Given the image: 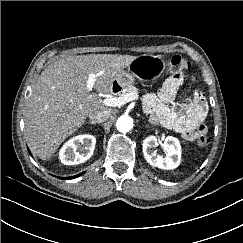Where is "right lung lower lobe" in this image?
Listing matches in <instances>:
<instances>
[{
  "mask_svg": "<svg viewBox=\"0 0 243 243\" xmlns=\"http://www.w3.org/2000/svg\"><path fill=\"white\" fill-rule=\"evenodd\" d=\"M82 174V173H81ZM81 174H79V175H81ZM79 175H76V176H72V177H64V179H73V178H76V177H78ZM63 179V178H62Z\"/></svg>",
  "mask_w": 243,
  "mask_h": 243,
  "instance_id": "1",
  "label": "right lung lower lobe"
}]
</instances>
